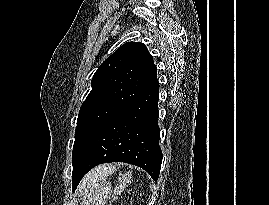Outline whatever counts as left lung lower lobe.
<instances>
[{"mask_svg": "<svg viewBox=\"0 0 269 205\" xmlns=\"http://www.w3.org/2000/svg\"><path fill=\"white\" fill-rule=\"evenodd\" d=\"M158 99L159 84L155 79L100 128L73 169V191L89 170L106 162L136 165L158 180L162 163Z\"/></svg>", "mask_w": 269, "mask_h": 205, "instance_id": "left-lung-lower-lobe-1", "label": "left lung lower lobe"}]
</instances>
